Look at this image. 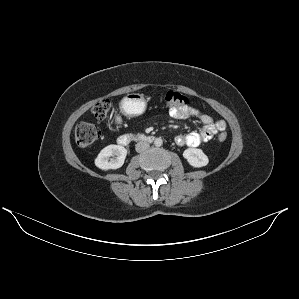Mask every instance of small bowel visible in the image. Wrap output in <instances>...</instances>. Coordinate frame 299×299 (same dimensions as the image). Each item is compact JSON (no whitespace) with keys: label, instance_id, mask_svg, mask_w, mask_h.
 Here are the masks:
<instances>
[{"label":"small bowel","instance_id":"1","mask_svg":"<svg viewBox=\"0 0 299 299\" xmlns=\"http://www.w3.org/2000/svg\"><path fill=\"white\" fill-rule=\"evenodd\" d=\"M169 114L175 119L196 118L203 124L200 131L177 136L175 142L178 146L197 147L212 139L217 132H223L226 129L224 120L214 121L208 114L188 105L172 107L169 109Z\"/></svg>","mask_w":299,"mask_h":299}]
</instances>
